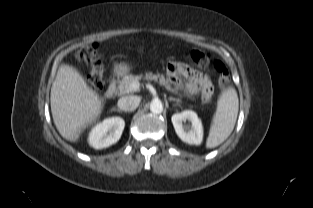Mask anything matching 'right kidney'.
<instances>
[{
    "instance_id": "right-kidney-1",
    "label": "right kidney",
    "mask_w": 313,
    "mask_h": 208,
    "mask_svg": "<svg viewBox=\"0 0 313 208\" xmlns=\"http://www.w3.org/2000/svg\"><path fill=\"white\" fill-rule=\"evenodd\" d=\"M125 121L121 117H111L97 124L91 131L89 143L95 149L107 148L121 137Z\"/></svg>"
}]
</instances>
